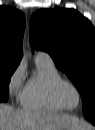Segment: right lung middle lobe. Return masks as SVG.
<instances>
[{
    "mask_svg": "<svg viewBox=\"0 0 95 130\" xmlns=\"http://www.w3.org/2000/svg\"><path fill=\"white\" fill-rule=\"evenodd\" d=\"M17 66L0 65V102H6L9 95V82Z\"/></svg>",
    "mask_w": 95,
    "mask_h": 130,
    "instance_id": "1",
    "label": "right lung middle lobe"
}]
</instances>
